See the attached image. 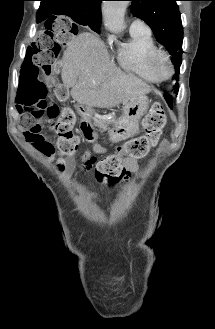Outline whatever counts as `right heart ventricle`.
<instances>
[{
    "label": "right heart ventricle",
    "mask_w": 215,
    "mask_h": 329,
    "mask_svg": "<svg viewBox=\"0 0 215 329\" xmlns=\"http://www.w3.org/2000/svg\"><path fill=\"white\" fill-rule=\"evenodd\" d=\"M159 49L150 32H130V39L116 50V60L126 72L141 79L158 83L160 80L153 73L150 60Z\"/></svg>",
    "instance_id": "right-heart-ventricle-1"
}]
</instances>
